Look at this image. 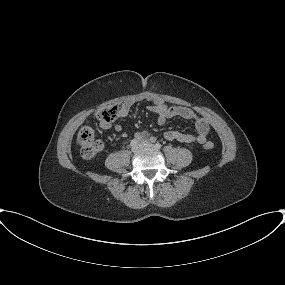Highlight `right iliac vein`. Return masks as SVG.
<instances>
[{
	"label": "right iliac vein",
	"mask_w": 285,
	"mask_h": 285,
	"mask_svg": "<svg viewBox=\"0 0 285 285\" xmlns=\"http://www.w3.org/2000/svg\"><path fill=\"white\" fill-rule=\"evenodd\" d=\"M140 148H141V144H137V145H135L134 147H132V151H133V152H136V151H138Z\"/></svg>",
	"instance_id": "63e3f726"
}]
</instances>
